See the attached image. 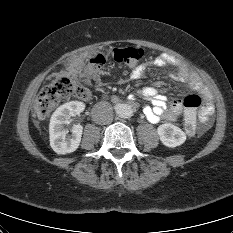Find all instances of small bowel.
<instances>
[{
    "label": "small bowel",
    "mask_w": 233,
    "mask_h": 233,
    "mask_svg": "<svg viewBox=\"0 0 233 233\" xmlns=\"http://www.w3.org/2000/svg\"><path fill=\"white\" fill-rule=\"evenodd\" d=\"M81 59L76 61V64L80 66ZM168 63H175V60L167 54H160L148 63L135 66L131 72L132 78H138L147 65L163 66ZM171 77L176 80L188 82L191 88L197 91L203 98L204 105L199 111V128L200 132H205L210 128L211 116L213 114V105L211 101L210 93L200 79V77L190 71L187 67L179 65L178 70L171 73ZM138 95L147 99L150 105L144 107V114L151 123H159L161 121H176L181 115L184 105L180 99H174L170 102L164 96L159 94V91L155 87H145L138 91ZM197 131V125L190 129L189 136H192Z\"/></svg>",
    "instance_id": "c3829d8e"
}]
</instances>
